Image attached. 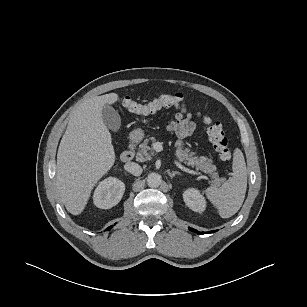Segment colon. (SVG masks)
<instances>
[{
	"label": "colon",
	"instance_id": "5ec220e1",
	"mask_svg": "<svg viewBox=\"0 0 307 307\" xmlns=\"http://www.w3.org/2000/svg\"><path fill=\"white\" fill-rule=\"evenodd\" d=\"M121 101L124 108L131 113L152 115L165 108L180 106L183 96L180 94H161L157 98L145 102L123 97ZM204 121L208 125L207 133L214 150L222 161H229L232 156L231 148L221 123L213 117H205Z\"/></svg>",
	"mask_w": 307,
	"mask_h": 307
}]
</instances>
